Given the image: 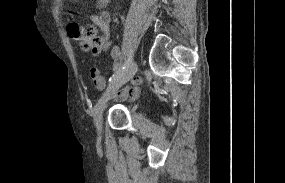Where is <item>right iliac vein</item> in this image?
Listing matches in <instances>:
<instances>
[{"label": "right iliac vein", "mask_w": 285, "mask_h": 183, "mask_svg": "<svg viewBox=\"0 0 285 183\" xmlns=\"http://www.w3.org/2000/svg\"><path fill=\"white\" fill-rule=\"evenodd\" d=\"M136 72L137 64L133 62L119 78L115 79L110 84L107 91L98 100L94 109V122L99 132H101L102 129L103 112L108 100L114 94V92L118 90L121 86H123L125 83H127L135 75Z\"/></svg>", "instance_id": "63e3f726"}]
</instances>
